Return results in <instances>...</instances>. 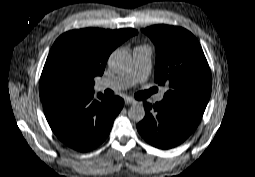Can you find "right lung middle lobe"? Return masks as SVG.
I'll list each match as a JSON object with an SVG mask.
<instances>
[{
  "mask_svg": "<svg viewBox=\"0 0 255 177\" xmlns=\"http://www.w3.org/2000/svg\"><path fill=\"white\" fill-rule=\"evenodd\" d=\"M94 82L92 83L93 88ZM83 76L69 66L59 63L41 76L39 84L42 102L54 101L84 94Z\"/></svg>",
  "mask_w": 255,
  "mask_h": 177,
  "instance_id": "1",
  "label": "right lung middle lobe"
}]
</instances>
